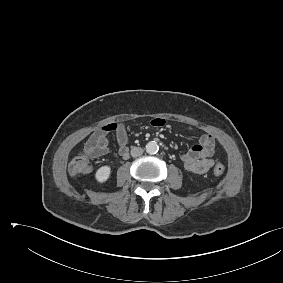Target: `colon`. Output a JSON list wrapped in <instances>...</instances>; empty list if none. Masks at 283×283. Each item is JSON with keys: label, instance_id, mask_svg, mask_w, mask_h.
<instances>
[{"label": "colon", "instance_id": "colon-1", "mask_svg": "<svg viewBox=\"0 0 283 283\" xmlns=\"http://www.w3.org/2000/svg\"><path fill=\"white\" fill-rule=\"evenodd\" d=\"M91 169L90 156L86 151L77 152L70 160L68 170L71 175H81L88 173ZM225 172V167L221 163H216L213 167V173L221 176Z\"/></svg>", "mask_w": 283, "mask_h": 283}]
</instances>
